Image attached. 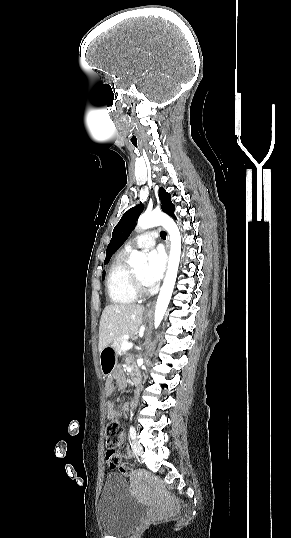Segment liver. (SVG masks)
<instances>
[{"mask_svg":"<svg viewBox=\"0 0 291 538\" xmlns=\"http://www.w3.org/2000/svg\"><path fill=\"white\" fill-rule=\"evenodd\" d=\"M144 306L110 304L102 312L98 349L101 351L125 334L135 333L142 324Z\"/></svg>","mask_w":291,"mask_h":538,"instance_id":"6515ba94","label":"liver"}]
</instances>
